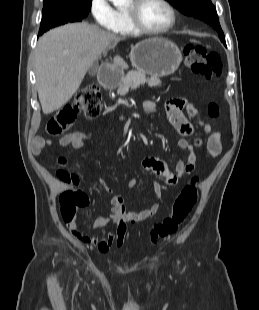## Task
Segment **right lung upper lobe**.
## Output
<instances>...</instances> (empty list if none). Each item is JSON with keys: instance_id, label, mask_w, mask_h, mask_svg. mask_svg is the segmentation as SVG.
I'll return each mask as SVG.
<instances>
[{"instance_id": "right-lung-upper-lobe-1", "label": "right lung upper lobe", "mask_w": 259, "mask_h": 310, "mask_svg": "<svg viewBox=\"0 0 259 310\" xmlns=\"http://www.w3.org/2000/svg\"><path fill=\"white\" fill-rule=\"evenodd\" d=\"M52 1H58V0H44V2H52Z\"/></svg>"}]
</instances>
